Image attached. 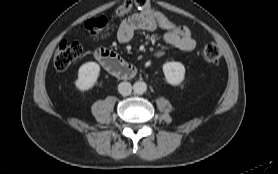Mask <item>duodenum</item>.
Wrapping results in <instances>:
<instances>
[{
  "instance_id": "duodenum-1",
  "label": "duodenum",
  "mask_w": 278,
  "mask_h": 174,
  "mask_svg": "<svg viewBox=\"0 0 278 174\" xmlns=\"http://www.w3.org/2000/svg\"><path fill=\"white\" fill-rule=\"evenodd\" d=\"M96 58L107 71L115 76L128 78L135 73L134 67L115 52L99 49L96 52Z\"/></svg>"
}]
</instances>
